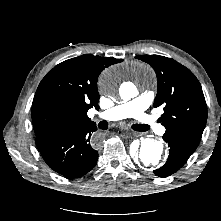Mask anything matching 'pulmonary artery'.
Segmentation results:
<instances>
[{"label": "pulmonary artery", "instance_id": "1", "mask_svg": "<svg viewBox=\"0 0 221 221\" xmlns=\"http://www.w3.org/2000/svg\"><path fill=\"white\" fill-rule=\"evenodd\" d=\"M153 98L154 94L152 92H145L136 98L101 112L99 117L109 121L133 117L147 126L150 131L161 134L164 132V127L156 121L153 115L146 112Z\"/></svg>", "mask_w": 221, "mask_h": 221}]
</instances>
